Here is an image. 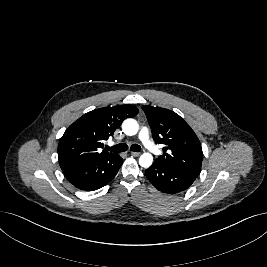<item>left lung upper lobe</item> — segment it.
<instances>
[{
  "mask_svg": "<svg viewBox=\"0 0 267 267\" xmlns=\"http://www.w3.org/2000/svg\"><path fill=\"white\" fill-rule=\"evenodd\" d=\"M156 143L163 144V155L155 162L195 177L201 172V143L191 127L175 112L159 107L142 106Z\"/></svg>",
  "mask_w": 267,
  "mask_h": 267,
  "instance_id": "left-lung-upper-lobe-1",
  "label": "left lung upper lobe"
}]
</instances>
